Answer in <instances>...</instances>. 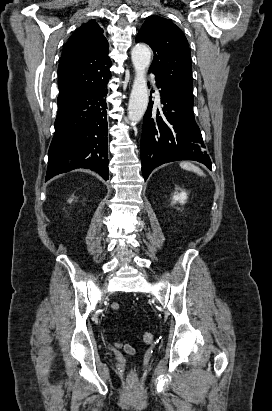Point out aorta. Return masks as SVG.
I'll return each instance as SVG.
<instances>
[{"instance_id": "aorta-1", "label": "aorta", "mask_w": 272, "mask_h": 411, "mask_svg": "<svg viewBox=\"0 0 272 411\" xmlns=\"http://www.w3.org/2000/svg\"><path fill=\"white\" fill-rule=\"evenodd\" d=\"M131 58L136 75L128 104V119L136 124L142 119L148 106L146 72L150 64L151 52L146 45L138 44L132 49Z\"/></svg>"}]
</instances>
